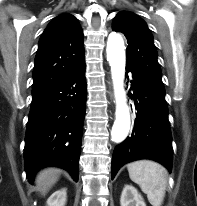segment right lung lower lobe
<instances>
[{
  "label": "right lung lower lobe",
  "mask_w": 197,
  "mask_h": 206,
  "mask_svg": "<svg viewBox=\"0 0 197 206\" xmlns=\"http://www.w3.org/2000/svg\"><path fill=\"white\" fill-rule=\"evenodd\" d=\"M86 97L84 63L32 98L24 148L25 171L30 182L46 166L66 169L78 181Z\"/></svg>",
  "instance_id": "obj_1"
}]
</instances>
